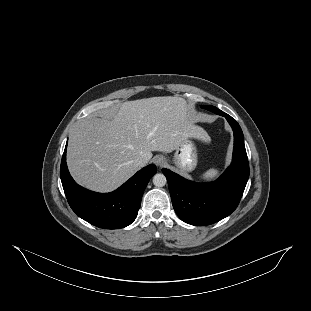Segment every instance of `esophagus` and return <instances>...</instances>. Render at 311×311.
Wrapping results in <instances>:
<instances>
[{
    "instance_id": "1",
    "label": "esophagus",
    "mask_w": 311,
    "mask_h": 311,
    "mask_svg": "<svg viewBox=\"0 0 311 311\" xmlns=\"http://www.w3.org/2000/svg\"><path fill=\"white\" fill-rule=\"evenodd\" d=\"M153 162L159 167L164 166L166 164V160L163 156L154 157Z\"/></svg>"
}]
</instances>
